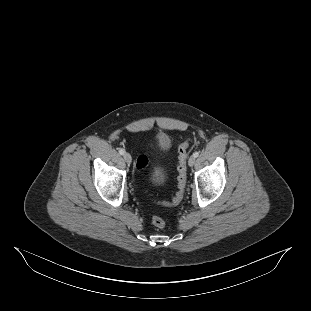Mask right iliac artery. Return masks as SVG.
<instances>
[{
    "label": "right iliac artery",
    "mask_w": 311,
    "mask_h": 311,
    "mask_svg": "<svg viewBox=\"0 0 311 311\" xmlns=\"http://www.w3.org/2000/svg\"><path fill=\"white\" fill-rule=\"evenodd\" d=\"M119 153L123 155L125 153L124 149H119Z\"/></svg>",
    "instance_id": "82829eb1"
}]
</instances>
